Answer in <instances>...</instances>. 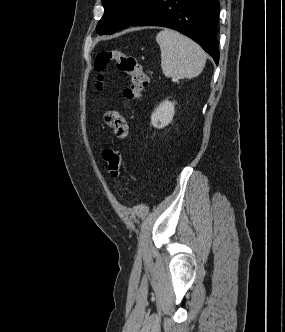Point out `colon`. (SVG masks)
Instances as JSON below:
<instances>
[{
  "label": "colon",
  "mask_w": 285,
  "mask_h": 332,
  "mask_svg": "<svg viewBox=\"0 0 285 332\" xmlns=\"http://www.w3.org/2000/svg\"><path fill=\"white\" fill-rule=\"evenodd\" d=\"M110 62H114L117 70L127 76L128 83L124 90V104L128 105L139 99L148 83V78L137 59L119 49L104 50L97 54L94 61V67L99 73L96 83L97 89H102V72ZM102 155L109 175L117 179L121 170L120 152L114 148H106L103 150Z\"/></svg>",
  "instance_id": "colon-1"
}]
</instances>
